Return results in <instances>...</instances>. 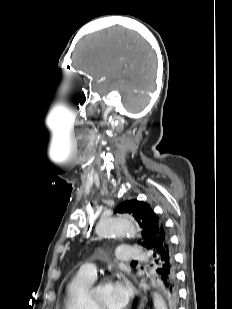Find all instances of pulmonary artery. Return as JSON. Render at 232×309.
Listing matches in <instances>:
<instances>
[{
  "instance_id": "obj_1",
  "label": "pulmonary artery",
  "mask_w": 232,
  "mask_h": 309,
  "mask_svg": "<svg viewBox=\"0 0 232 309\" xmlns=\"http://www.w3.org/2000/svg\"><path fill=\"white\" fill-rule=\"evenodd\" d=\"M147 256L148 255H146L143 251L127 245L119 246L116 250L117 259L125 263L132 260H143L147 258ZM79 272L89 277H95L96 266L94 263H86L80 267Z\"/></svg>"
}]
</instances>
